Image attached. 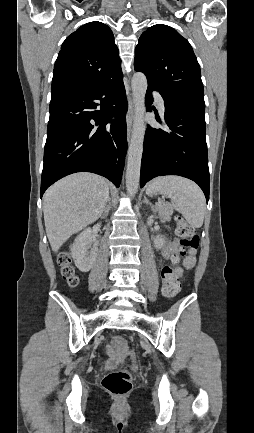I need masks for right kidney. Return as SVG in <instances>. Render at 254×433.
Here are the masks:
<instances>
[{
	"instance_id": "ca27d5eb",
	"label": "right kidney",
	"mask_w": 254,
	"mask_h": 433,
	"mask_svg": "<svg viewBox=\"0 0 254 433\" xmlns=\"http://www.w3.org/2000/svg\"><path fill=\"white\" fill-rule=\"evenodd\" d=\"M71 253L76 267L81 272H88L93 267L98 254V247L94 243V236L90 228L76 237Z\"/></svg>"
}]
</instances>
